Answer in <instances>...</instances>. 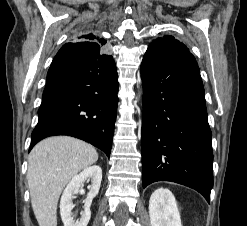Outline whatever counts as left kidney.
<instances>
[{
    "label": "left kidney",
    "mask_w": 247,
    "mask_h": 226,
    "mask_svg": "<svg viewBox=\"0 0 247 226\" xmlns=\"http://www.w3.org/2000/svg\"><path fill=\"white\" fill-rule=\"evenodd\" d=\"M151 226H182L174 195L168 189H156L149 200Z\"/></svg>",
    "instance_id": "1"
}]
</instances>
